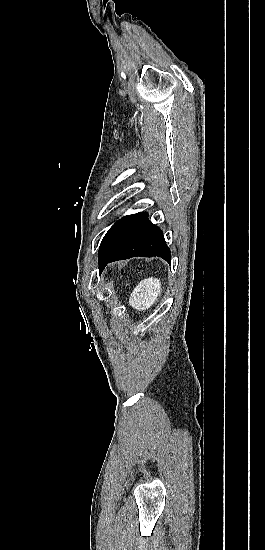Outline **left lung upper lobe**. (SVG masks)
Returning <instances> with one entry per match:
<instances>
[{
    "instance_id": "1",
    "label": "left lung upper lobe",
    "mask_w": 265,
    "mask_h": 550,
    "mask_svg": "<svg viewBox=\"0 0 265 550\" xmlns=\"http://www.w3.org/2000/svg\"><path fill=\"white\" fill-rule=\"evenodd\" d=\"M146 212L127 215L118 220L104 236L100 248L99 257L111 252L117 245L145 218Z\"/></svg>"
}]
</instances>
